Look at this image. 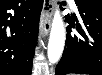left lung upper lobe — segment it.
<instances>
[{
    "label": "left lung upper lobe",
    "mask_w": 102,
    "mask_h": 75,
    "mask_svg": "<svg viewBox=\"0 0 102 75\" xmlns=\"http://www.w3.org/2000/svg\"><path fill=\"white\" fill-rule=\"evenodd\" d=\"M75 1L90 2V3H93V4H97V5H102V0H75Z\"/></svg>",
    "instance_id": "5c2ea615"
}]
</instances>
